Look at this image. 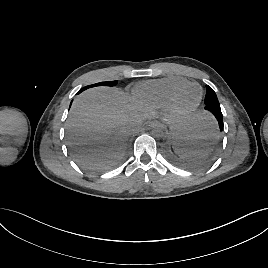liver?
Segmentation results:
<instances>
[{"label":"liver","mask_w":268,"mask_h":268,"mask_svg":"<svg viewBox=\"0 0 268 268\" xmlns=\"http://www.w3.org/2000/svg\"><path fill=\"white\" fill-rule=\"evenodd\" d=\"M154 114L117 88L88 89L77 96L70 109L66 123L68 144L81 152L87 162L108 164L117 158L132 129ZM204 118V114H196L189 125ZM166 121L174 124L171 119Z\"/></svg>","instance_id":"obj_1"}]
</instances>
